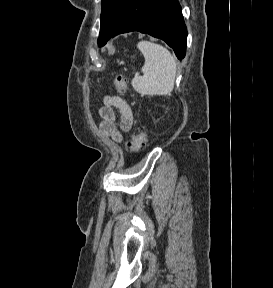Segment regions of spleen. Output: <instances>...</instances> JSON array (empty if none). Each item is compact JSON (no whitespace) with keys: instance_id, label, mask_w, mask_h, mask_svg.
<instances>
[{"instance_id":"3e777b00","label":"spleen","mask_w":273,"mask_h":288,"mask_svg":"<svg viewBox=\"0 0 273 288\" xmlns=\"http://www.w3.org/2000/svg\"><path fill=\"white\" fill-rule=\"evenodd\" d=\"M145 63L143 75H135L133 88L141 95H168L173 91L176 77V62L173 55L160 44L140 41L137 45Z\"/></svg>"}]
</instances>
